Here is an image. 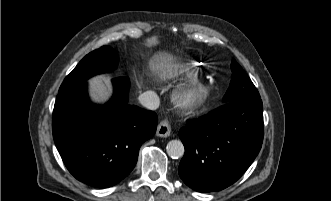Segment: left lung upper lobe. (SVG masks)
Segmentation results:
<instances>
[{
  "instance_id": "5c2ea615",
  "label": "left lung upper lobe",
  "mask_w": 331,
  "mask_h": 201,
  "mask_svg": "<svg viewBox=\"0 0 331 201\" xmlns=\"http://www.w3.org/2000/svg\"><path fill=\"white\" fill-rule=\"evenodd\" d=\"M231 70L232 79L223 98L224 103L260 97L250 78L234 59L232 60Z\"/></svg>"
}]
</instances>
